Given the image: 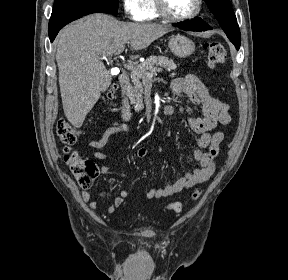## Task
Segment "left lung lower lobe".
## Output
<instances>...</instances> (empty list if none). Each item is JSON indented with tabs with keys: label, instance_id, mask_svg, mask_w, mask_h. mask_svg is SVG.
<instances>
[{
	"label": "left lung lower lobe",
	"instance_id": "1",
	"mask_svg": "<svg viewBox=\"0 0 288 280\" xmlns=\"http://www.w3.org/2000/svg\"><path fill=\"white\" fill-rule=\"evenodd\" d=\"M174 26H177L184 30H191V31H206L212 29L201 18H195L194 20L191 21H185L183 23L174 24ZM234 45L236 49H239L240 44H234Z\"/></svg>",
	"mask_w": 288,
	"mask_h": 280
}]
</instances>
